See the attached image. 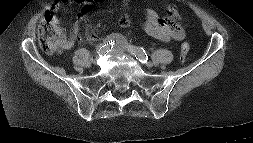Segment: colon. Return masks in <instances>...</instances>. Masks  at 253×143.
<instances>
[{
    "label": "colon",
    "instance_id": "1",
    "mask_svg": "<svg viewBox=\"0 0 253 143\" xmlns=\"http://www.w3.org/2000/svg\"><path fill=\"white\" fill-rule=\"evenodd\" d=\"M39 44L43 51L53 53L60 51L65 45V33L62 27L52 22L50 15H46L38 31ZM190 51V43L184 42L180 47V60L184 62Z\"/></svg>",
    "mask_w": 253,
    "mask_h": 143
}]
</instances>
